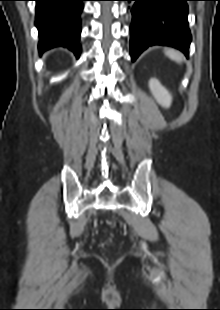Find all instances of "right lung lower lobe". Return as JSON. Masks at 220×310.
Here are the masks:
<instances>
[{
  "label": "right lung lower lobe",
  "instance_id": "right-lung-lower-lobe-1",
  "mask_svg": "<svg viewBox=\"0 0 220 310\" xmlns=\"http://www.w3.org/2000/svg\"><path fill=\"white\" fill-rule=\"evenodd\" d=\"M35 25L39 32V51L62 46L79 57L83 1L86 0H35Z\"/></svg>",
  "mask_w": 220,
  "mask_h": 310
}]
</instances>
